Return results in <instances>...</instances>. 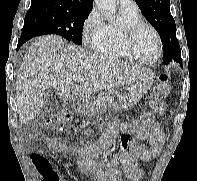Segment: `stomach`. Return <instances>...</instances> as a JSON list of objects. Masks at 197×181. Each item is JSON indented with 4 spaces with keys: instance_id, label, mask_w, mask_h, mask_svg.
Masks as SVG:
<instances>
[{
    "instance_id": "1",
    "label": "stomach",
    "mask_w": 197,
    "mask_h": 181,
    "mask_svg": "<svg viewBox=\"0 0 197 181\" xmlns=\"http://www.w3.org/2000/svg\"><path fill=\"white\" fill-rule=\"evenodd\" d=\"M153 85V75L146 74L132 82L124 91L106 90L96 97L81 98L79 107L89 114H101L107 109L130 110L147 94Z\"/></svg>"
}]
</instances>
